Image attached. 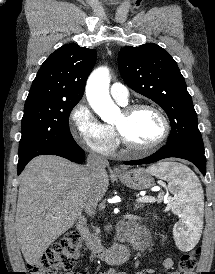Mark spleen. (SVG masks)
Here are the masks:
<instances>
[{
  "label": "spleen",
  "instance_id": "spleen-1",
  "mask_svg": "<svg viewBox=\"0 0 215 274\" xmlns=\"http://www.w3.org/2000/svg\"><path fill=\"white\" fill-rule=\"evenodd\" d=\"M147 171L156 177L168 181L172 211L179 215L173 233L178 244L186 241L193 246L198 241L202 229L204 208L203 189L196 175L186 166L178 163L162 162L150 166ZM164 193L158 195L163 200Z\"/></svg>",
  "mask_w": 215,
  "mask_h": 274
}]
</instances>
